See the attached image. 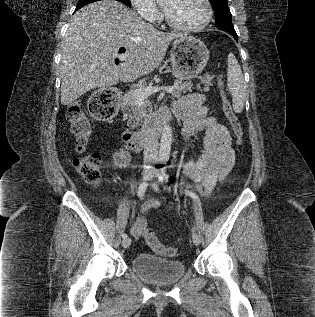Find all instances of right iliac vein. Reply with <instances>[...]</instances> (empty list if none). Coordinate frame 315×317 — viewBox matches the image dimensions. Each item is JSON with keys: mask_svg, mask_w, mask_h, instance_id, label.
<instances>
[{"mask_svg": "<svg viewBox=\"0 0 315 317\" xmlns=\"http://www.w3.org/2000/svg\"><path fill=\"white\" fill-rule=\"evenodd\" d=\"M152 177L151 172H145L144 173V180H149ZM131 244V239L130 238H125L122 241V247L123 248H128Z\"/></svg>", "mask_w": 315, "mask_h": 317, "instance_id": "obj_1", "label": "right iliac vein"}]
</instances>
